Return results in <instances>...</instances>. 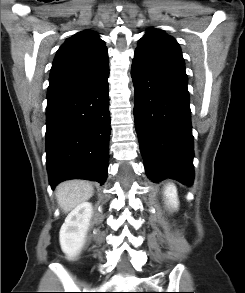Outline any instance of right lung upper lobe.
<instances>
[{
  "label": "right lung upper lobe",
  "instance_id": "obj_1",
  "mask_svg": "<svg viewBox=\"0 0 245 293\" xmlns=\"http://www.w3.org/2000/svg\"><path fill=\"white\" fill-rule=\"evenodd\" d=\"M104 41L89 30L76 33L59 48L51 68L47 99L60 97L109 71Z\"/></svg>",
  "mask_w": 245,
  "mask_h": 293
}]
</instances>
